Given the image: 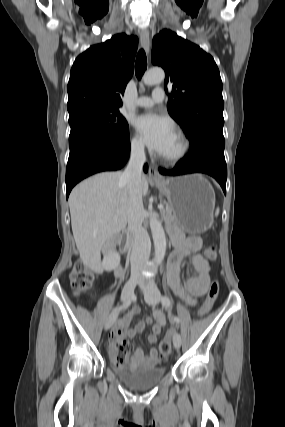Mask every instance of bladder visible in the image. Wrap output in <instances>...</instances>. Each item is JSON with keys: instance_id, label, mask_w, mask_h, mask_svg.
<instances>
[{"instance_id": "1", "label": "bladder", "mask_w": 285, "mask_h": 427, "mask_svg": "<svg viewBox=\"0 0 285 427\" xmlns=\"http://www.w3.org/2000/svg\"><path fill=\"white\" fill-rule=\"evenodd\" d=\"M113 369L124 384L136 390H146L156 386L166 374L164 367L130 368L123 365H113Z\"/></svg>"}]
</instances>
